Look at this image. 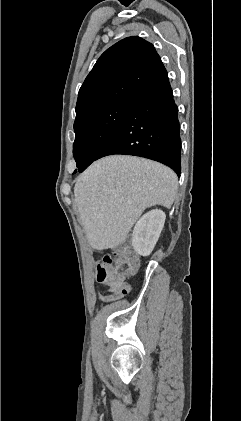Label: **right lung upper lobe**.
Returning a JSON list of instances; mask_svg holds the SVG:
<instances>
[{
	"label": "right lung upper lobe",
	"mask_w": 241,
	"mask_h": 421,
	"mask_svg": "<svg viewBox=\"0 0 241 421\" xmlns=\"http://www.w3.org/2000/svg\"><path fill=\"white\" fill-rule=\"evenodd\" d=\"M164 70L151 43L136 36L117 42L100 56L82 84L76 119L109 104L131 100Z\"/></svg>",
	"instance_id": "right-lung-upper-lobe-1"
}]
</instances>
